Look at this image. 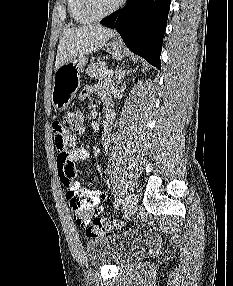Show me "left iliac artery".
Returning <instances> with one entry per match:
<instances>
[{"label": "left iliac artery", "instance_id": "1", "mask_svg": "<svg viewBox=\"0 0 233 286\" xmlns=\"http://www.w3.org/2000/svg\"><path fill=\"white\" fill-rule=\"evenodd\" d=\"M121 193H118L117 198L115 199V208L118 209L121 203Z\"/></svg>", "mask_w": 233, "mask_h": 286}]
</instances>
